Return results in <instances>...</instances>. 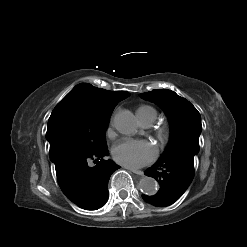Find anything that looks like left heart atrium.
I'll use <instances>...</instances> for the list:
<instances>
[{"label": "left heart atrium", "mask_w": 247, "mask_h": 247, "mask_svg": "<svg viewBox=\"0 0 247 247\" xmlns=\"http://www.w3.org/2000/svg\"><path fill=\"white\" fill-rule=\"evenodd\" d=\"M112 156L124 166L139 168L155 158L156 149L148 141L123 139L113 146Z\"/></svg>", "instance_id": "left-heart-atrium-1"}]
</instances>
